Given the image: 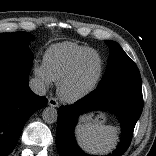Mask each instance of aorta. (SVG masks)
I'll use <instances>...</instances> for the list:
<instances>
[{
  "label": "aorta",
  "mask_w": 156,
  "mask_h": 156,
  "mask_svg": "<svg viewBox=\"0 0 156 156\" xmlns=\"http://www.w3.org/2000/svg\"><path fill=\"white\" fill-rule=\"evenodd\" d=\"M58 112L54 107H46L42 112V118L45 123L52 124L57 121Z\"/></svg>",
  "instance_id": "762f6f07"
}]
</instances>
